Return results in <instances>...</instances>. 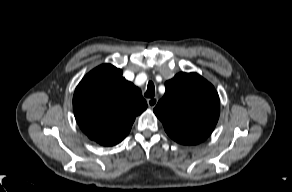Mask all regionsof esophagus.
Returning <instances> with one entry per match:
<instances>
[{"label":"esophagus","instance_id":"obj_1","mask_svg":"<svg viewBox=\"0 0 292 192\" xmlns=\"http://www.w3.org/2000/svg\"><path fill=\"white\" fill-rule=\"evenodd\" d=\"M158 103V98L157 97H153V98H148L147 99V104L150 108H153L156 106V104Z\"/></svg>","mask_w":292,"mask_h":192}]
</instances>
